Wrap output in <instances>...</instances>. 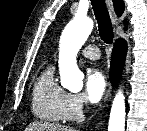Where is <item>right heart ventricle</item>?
Listing matches in <instances>:
<instances>
[{
    "label": "right heart ventricle",
    "mask_w": 147,
    "mask_h": 131,
    "mask_svg": "<svg viewBox=\"0 0 147 131\" xmlns=\"http://www.w3.org/2000/svg\"><path fill=\"white\" fill-rule=\"evenodd\" d=\"M67 92L56 82L54 69L46 68L35 82L32 93L33 114L47 122L64 121L62 107Z\"/></svg>",
    "instance_id": "e07e8e85"
}]
</instances>
